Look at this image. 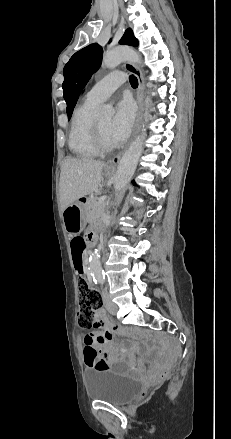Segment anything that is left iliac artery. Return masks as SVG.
Here are the masks:
<instances>
[{
  "instance_id": "obj_1",
  "label": "left iliac artery",
  "mask_w": 231,
  "mask_h": 439,
  "mask_svg": "<svg viewBox=\"0 0 231 439\" xmlns=\"http://www.w3.org/2000/svg\"><path fill=\"white\" fill-rule=\"evenodd\" d=\"M104 279H105V278H100V279H99L100 284H104Z\"/></svg>"
}]
</instances>
